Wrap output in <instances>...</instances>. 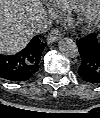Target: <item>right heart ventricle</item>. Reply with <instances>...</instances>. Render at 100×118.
<instances>
[{
  "mask_svg": "<svg viewBox=\"0 0 100 118\" xmlns=\"http://www.w3.org/2000/svg\"><path fill=\"white\" fill-rule=\"evenodd\" d=\"M54 7L63 12H70L82 8L90 0H50Z\"/></svg>",
  "mask_w": 100,
  "mask_h": 118,
  "instance_id": "1",
  "label": "right heart ventricle"
}]
</instances>
